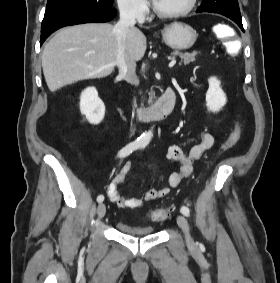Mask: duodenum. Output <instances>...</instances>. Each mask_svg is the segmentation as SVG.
Returning a JSON list of instances; mask_svg holds the SVG:
<instances>
[{
  "instance_id": "410a0bca",
  "label": "duodenum",
  "mask_w": 280,
  "mask_h": 283,
  "mask_svg": "<svg viewBox=\"0 0 280 283\" xmlns=\"http://www.w3.org/2000/svg\"><path fill=\"white\" fill-rule=\"evenodd\" d=\"M176 100V94L173 88H168L162 94L160 99L152 106L139 107L134 96L130 102L133 110L138 113L139 119L143 122L160 121L168 117L173 111Z\"/></svg>"
}]
</instances>
